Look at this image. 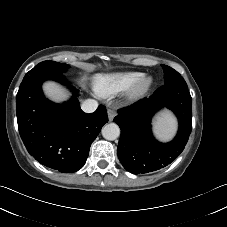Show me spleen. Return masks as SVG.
<instances>
[{"label": "spleen", "instance_id": "spleen-1", "mask_svg": "<svg viewBox=\"0 0 227 227\" xmlns=\"http://www.w3.org/2000/svg\"><path fill=\"white\" fill-rule=\"evenodd\" d=\"M153 125L156 136L161 140H169L176 130V120L168 111L162 112Z\"/></svg>", "mask_w": 227, "mask_h": 227}]
</instances>
